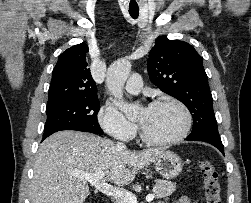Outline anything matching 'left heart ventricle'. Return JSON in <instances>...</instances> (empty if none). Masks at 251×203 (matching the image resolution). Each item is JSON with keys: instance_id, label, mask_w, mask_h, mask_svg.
<instances>
[{"instance_id": "left-heart-ventricle-1", "label": "left heart ventricle", "mask_w": 251, "mask_h": 203, "mask_svg": "<svg viewBox=\"0 0 251 203\" xmlns=\"http://www.w3.org/2000/svg\"><path fill=\"white\" fill-rule=\"evenodd\" d=\"M137 121L149 137L164 140L181 131L184 116L176 105L165 103L141 110Z\"/></svg>"}]
</instances>
